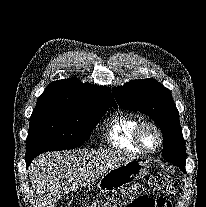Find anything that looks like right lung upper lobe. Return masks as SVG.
Masks as SVG:
<instances>
[{"label":"right lung upper lobe","mask_w":206,"mask_h":207,"mask_svg":"<svg viewBox=\"0 0 206 207\" xmlns=\"http://www.w3.org/2000/svg\"><path fill=\"white\" fill-rule=\"evenodd\" d=\"M54 103L86 108L116 107L114 98L106 86L82 83L76 78L50 83L39 96L37 104Z\"/></svg>","instance_id":"obj_1"}]
</instances>
